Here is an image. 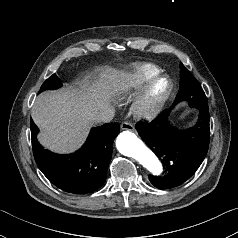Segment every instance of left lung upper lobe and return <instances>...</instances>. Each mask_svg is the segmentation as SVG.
Segmentation results:
<instances>
[{"label": "left lung upper lobe", "mask_w": 238, "mask_h": 238, "mask_svg": "<svg viewBox=\"0 0 238 238\" xmlns=\"http://www.w3.org/2000/svg\"><path fill=\"white\" fill-rule=\"evenodd\" d=\"M187 100L189 104H208L206 95L198 81L188 69L180 63V88L175 101Z\"/></svg>", "instance_id": "5c2ea615"}]
</instances>
